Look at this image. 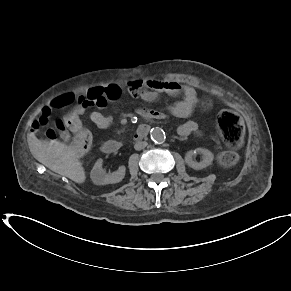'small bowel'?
Returning <instances> with one entry per match:
<instances>
[{"label": "small bowel", "instance_id": "small-bowel-1", "mask_svg": "<svg viewBox=\"0 0 291 291\" xmlns=\"http://www.w3.org/2000/svg\"><path fill=\"white\" fill-rule=\"evenodd\" d=\"M127 93L134 98H141L146 102H154L161 93L171 96L183 95V99L173 104L170 108L171 113L177 117L186 119L191 116L197 103L198 97L196 91L190 86H183L177 81H166L158 79L146 80L142 77H133L127 83ZM124 90L120 84L108 83L104 85H95L86 88L79 96L78 111L82 113L87 107H94L90 113L91 121L100 129L108 128L112 123V118L103 114L101 111L109 102H115L123 97ZM139 117H146L148 120L166 121L168 114L166 112H156L139 108L137 110ZM40 120L33 124L35 131L46 127L49 121V114L44 111L39 116ZM198 131V125L194 120H188L182 124L178 133L181 136H187ZM60 137L69 141L71 134L69 131L60 133Z\"/></svg>", "mask_w": 291, "mask_h": 291}]
</instances>
